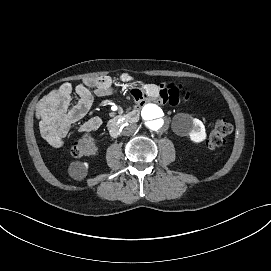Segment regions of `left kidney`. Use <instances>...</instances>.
<instances>
[{
  "mask_svg": "<svg viewBox=\"0 0 271 271\" xmlns=\"http://www.w3.org/2000/svg\"><path fill=\"white\" fill-rule=\"evenodd\" d=\"M187 134L195 141H200L205 136V128L198 119H188Z\"/></svg>",
  "mask_w": 271,
  "mask_h": 271,
  "instance_id": "obj_1",
  "label": "left kidney"
}]
</instances>
